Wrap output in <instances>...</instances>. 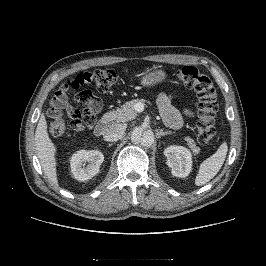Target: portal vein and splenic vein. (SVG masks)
Returning <instances> with one entry per match:
<instances>
[{"instance_id": "obj_1", "label": "portal vein and splenic vein", "mask_w": 266, "mask_h": 266, "mask_svg": "<svg viewBox=\"0 0 266 266\" xmlns=\"http://www.w3.org/2000/svg\"><path fill=\"white\" fill-rule=\"evenodd\" d=\"M144 109V105L142 103H137L136 104V110L137 111H142Z\"/></svg>"}]
</instances>
